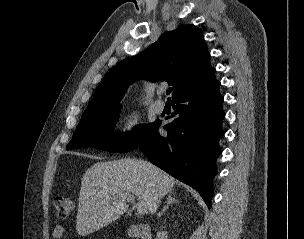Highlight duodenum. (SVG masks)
<instances>
[{"label":"duodenum","instance_id":"obj_1","mask_svg":"<svg viewBox=\"0 0 304 239\" xmlns=\"http://www.w3.org/2000/svg\"><path fill=\"white\" fill-rule=\"evenodd\" d=\"M127 234L137 239H152V231L147 224H135L127 228Z\"/></svg>","mask_w":304,"mask_h":239}]
</instances>
